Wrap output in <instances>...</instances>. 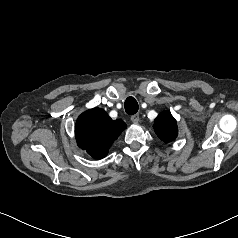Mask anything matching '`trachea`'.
Instances as JSON below:
<instances>
[{"label": "trachea", "instance_id": "1", "mask_svg": "<svg viewBox=\"0 0 238 238\" xmlns=\"http://www.w3.org/2000/svg\"><path fill=\"white\" fill-rule=\"evenodd\" d=\"M125 111L129 115H133L138 111V103L133 97H128L124 103Z\"/></svg>", "mask_w": 238, "mask_h": 238}]
</instances>
